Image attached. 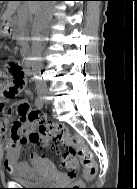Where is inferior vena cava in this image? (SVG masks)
<instances>
[{"instance_id": "602c4592", "label": "inferior vena cava", "mask_w": 137, "mask_h": 189, "mask_svg": "<svg viewBox=\"0 0 137 189\" xmlns=\"http://www.w3.org/2000/svg\"><path fill=\"white\" fill-rule=\"evenodd\" d=\"M52 3L49 1L43 2V5L37 10L35 14V18L32 24V54L36 56L37 61H35V73L33 74L36 78L35 83L37 88H48L46 80L48 79L45 77V67L44 62L40 61V54L42 50L41 40L39 39L40 32L43 29L45 21L50 13V8Z\"/></svg>"}]
</instances>
